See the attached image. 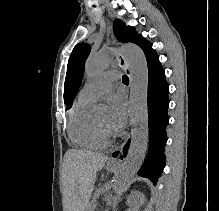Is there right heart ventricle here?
<instances>
[{"label":"right heart ventricle","instance_id":"1","mask_svg":"<svg viewBox=\"0 0 219 211\" xmlns=\"http://www.w3.org/2000/svg\"><path fill=\"white\" fill-rule=\"evenodd\" d=\"M92 105V102L79 98L73 103L68 116V134L77 145L99 150L105 148L108 141L91 114Z\"/></svg>","mask_w":219,"mask_h":211}]
</instances>
